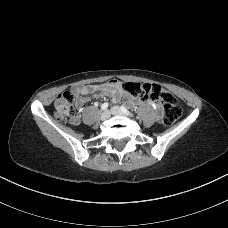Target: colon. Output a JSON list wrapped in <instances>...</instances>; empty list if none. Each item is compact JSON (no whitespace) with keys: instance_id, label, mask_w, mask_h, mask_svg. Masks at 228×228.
I'll return each instance as SVG.
<instances>
[{"instance_id":"colon-1","label":"colon","mask_w":228,"mask_h":228,"mask_svg":"<svg viewBox=\"0 0 228 228\" xmlns=\"http://www.w3.org/2000/svg\"><path fill=\"white\" fill-rule=\"evenodd\" d=\"M122 88L133 97L161 102L164 105L162 120L165 125L174 123L182 114L176 98L156 84L125 82ZM54 107V115L58 121H67L75 116L74 97L69 91L56 97Z\"/></svg>"}]
</instances>
